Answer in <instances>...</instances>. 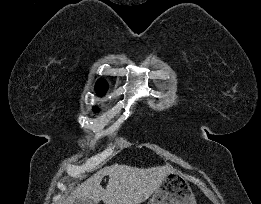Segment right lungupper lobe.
Listing matches in <instances>:
<instances>
[{
  "label": "right lung upper lobe",
  "mask_w": 261,
  "mask_h": 204,
  "mask_svg": "<svg viewBox=\"0 0 261 204\" xmlns=\"http://www.w3.org/2000/svg\"><path fill=\"white\" fill-rule=\"evenodd\" d=\"M107 88H108V85H107L106 81L103 79L98 80V82L96 83V86H95V89L99 95L105 94V92L107 91Z\"/></svg>",
  "instance_id": "1"
}]
</instances>
